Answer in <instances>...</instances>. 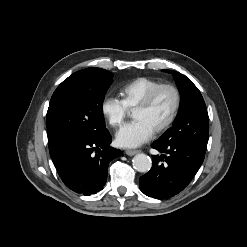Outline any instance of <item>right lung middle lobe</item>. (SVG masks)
<instances>
[{
  "instance_id": "1",
  "label": "right lung middle lobe",
  "mask_w": 247,
  "mask_h": 247,
  "mask_svg": "<svg viewBox=\"0 0 247 247\" xmlns=\"http://www.w3.org/2000/svg\"><path fill=\"white\" fill-rule=\"evenodd\" d=\"M112 76L105 69L91 67L73 73L57 87L47 111L49 149L107 130L102 104Z\"/></svg>"
}]
</instances>
